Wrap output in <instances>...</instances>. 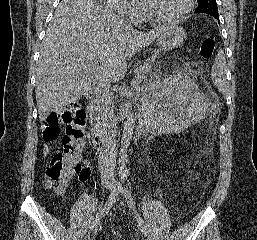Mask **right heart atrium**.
I'll return each instance as SVG.
<instances>
[{
    "label": "right heart atrium",
    "mask_w": 257,
    "mask_h": 240,
    "mask_svg": "<svg viewBox=\"0 0 257 240\" xmlns=\"http://www.w3.org/2000/svg\"><path fill=\"white\" fill-rule=\"evenodd\" d=\"M111 7L120 16L132 23L142 20L145 10L140 0H109Z\"/></svg>",
    "instance_id": "right-heart-atrium-1"
}]
</instances>
